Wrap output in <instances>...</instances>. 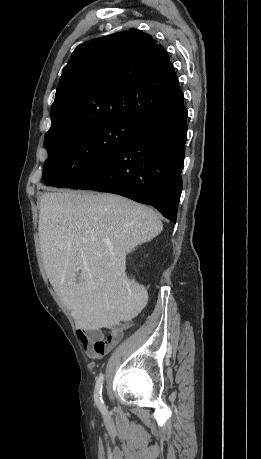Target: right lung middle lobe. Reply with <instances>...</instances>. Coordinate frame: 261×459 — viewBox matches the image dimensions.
Segmentation results:
<instances>
[{
	"label": "right lung middle lobe",
	"mask_w": 261,
	"mask_h": 459,
	"mask_svg": "<svg viewBox=\"0 0 261 459\" xmlns=\"http://www.w3.org/2000/svg\"><path fill=\"white\" fill-rule=\"evenodd\" d=\"M140 126L132 120H114L74 134H46L45 183L61 188L76 184L120 152Z\"/></svg>",
	"instance_id": "right-lung-middle-lobe-1"
}]
</instances>
